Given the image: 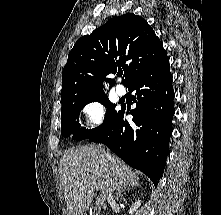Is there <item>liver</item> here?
Segmentation results:
<instances>
[{"label": "liver", "instance_id": "6515ba94", "mask_svg": "<svg viewBox=\"0 0 221 215\" xmlns=\"http://www.w3.org/2000/svg\"><path fill=\"white\" fill-rule=\"evenodd\" d=\"M100 146L84 145L66 150L59 163L68 215H82L90 206L94 191L106 200L114 189L139 184L137 171Z\"/></svg>", "mask_w": 221, "mask_h": 215}]
</instances>
